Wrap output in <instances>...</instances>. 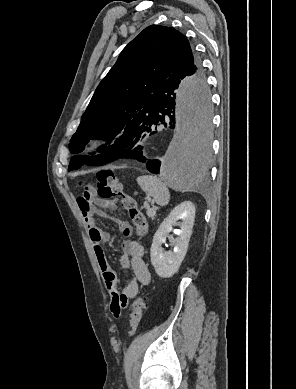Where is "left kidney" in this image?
Returning a JSON list of instances; mask_svg holds the SVG:
<instances>
[{"label":"left kidney","instance_id":"5707ae66","mask_svg":"<svg viewBox=\"0 0 296 389\" xmlns=\"http://www.w3.org/2000/svg\"><path fill=\"white\" fill-rule=\"evenodd\" d=\"M195 218V206L190 201H184L176 206L153 236L150 249L151 264L158 276L162 278L172 277L179 269L188 249L189 240ZM180 220V222H178ZM180 225L181 229H174L173 225ZM173 231L177 237L169 233ZM169 240L173 251L165 252L162 244Z\"/></svg>","mask_w":296,"mask_h":389}]
</instances>
